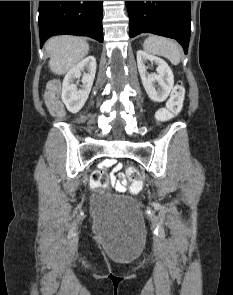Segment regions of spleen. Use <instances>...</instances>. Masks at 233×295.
Returning a JSON list of instances; mask_svg holds the SVG:
<instances>
[{
  "instance_id": "3e777b00",
  "label": "spleen",
  "mask_w": 233,
  "mask_h": 295,
  "mask_svg": "<svg viewBox=\"0 0 233 295\" xmlns=\"http://www.w3.org/2000/svg\"><path fill=\"white\" fill-rule=\"evenodd\" d=\"M143 48L151 54H157L168 58L171 63L175 65L180 62V46L176 41L169 38L154 35L149 36L144 41Z\"/></svg>"
}]
</instances>
